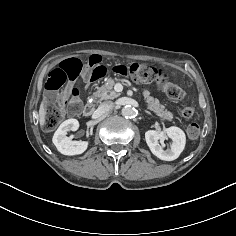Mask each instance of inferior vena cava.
Here are the masks:
<instances>
[{
    "instance_id": "602c4592",
    "label": "inferior vena cava",
    "mask_w": 236,
    "mask_h": 236,
    "mask_svg": "<svg viewBox=\"0 0 236 236\" xmlns=\"http://www.w3.org/2000/svg\"><path fill=\"white\" fill-rule=\"evenodd\" d=\"M113 107H114V103L112 101H105L100 104V106L98 107V110L101 113H106V112H109L110 110H112Z\"/></svg>"
}]
</instances>
